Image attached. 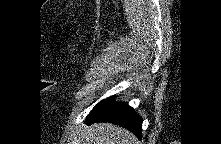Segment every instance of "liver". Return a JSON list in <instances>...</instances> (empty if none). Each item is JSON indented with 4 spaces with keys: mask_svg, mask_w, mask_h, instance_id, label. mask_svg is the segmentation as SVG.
<instances>
[{
    "mask_svg": "<svg viewBox=\"0 0 221 144\" xmlns=\"http://www.w3.org/2000/svg\"><path fill=\"white\" fill-rule=\"evenodd\" d=\"M79 138L83 144H138L125 128L112 123H96L84 128Z\"/></svg>",
    "mask_w": 221,
    "mask_h": 144,
    "instance_id": "1",
    "label": "liver"
}]
</instances>
